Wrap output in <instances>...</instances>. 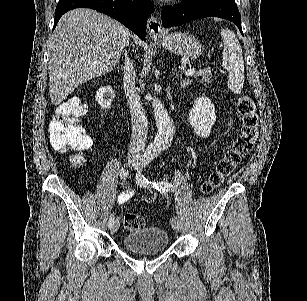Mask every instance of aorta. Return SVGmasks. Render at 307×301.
I'll list each match as a JSON object with an SVG mask.
<instances>
[{
    "mask_svg": "<svg viewBox=\"0 0 307 301\" xmlns=\"http://www.w3.org/2000/svg\"><path fill=\"white\" fill-rule=\"evenodd\" d=\"M151 100L157 126V134L153 144L150 146V151H152V153H161L165 144H169L171 138H173L175 126L163 102H161L157 96H152Z\"/></svg>",
    "mask_w": 307,
    "mask_h": 301,
    "instance_id": "aorta-1",
    "label": "aorta"
}]
</instances>
